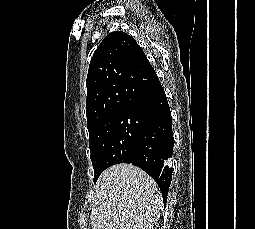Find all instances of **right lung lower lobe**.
Returning <instances> with one entry per match:
<instances>
[{
	"mask_svg": "<svg viewBox=\"0 0 255 229\" xmlns=\"http://www.w3.org/2000/svg\"><path fill=\"white\" fill-rule=\"evenodd\" d=\"M126 109L142 120L136 149L128 163L140 167L156 181L166 204L174 139L170 107L157 76L145 94Z\"/></svg>",
	"mask_w": 255,
	"mask_h": 229,
	"instance_id": "right-lung-lower-lobe-1",
	"label": "right lung lower lobe"
}]
</instances>
